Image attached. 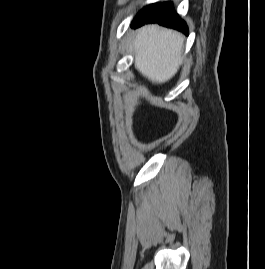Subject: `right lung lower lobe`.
<instances>
[{"mask_svg": "<svg viewBox=\"0 0 265 269\" xmlns=\"http://www.w3.org/2000/svg\"><path fill=\"white\" fill-rule=\"evenodd\" d=\"M146 23H158L188 34L186 23L173 10L172 3H155L145 7L135 17L132 27L137 28Z\"/></svg>", "mask_w": 265, "mask_h": 269, "instance_id": "98d812e1", "label": "right lung lower lobe"}]
</instances>
